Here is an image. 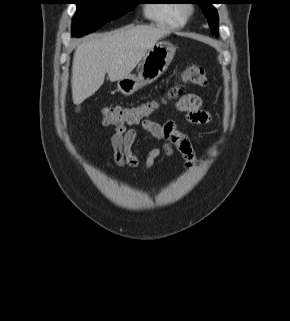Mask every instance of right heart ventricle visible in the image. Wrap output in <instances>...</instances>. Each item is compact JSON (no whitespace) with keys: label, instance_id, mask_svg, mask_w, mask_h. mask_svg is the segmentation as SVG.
<instances>
[{"label":"right heart ventricle","instance_id":"1","mask_svg":"<svg viewBox=\"0 0 290 321\" xmlns=\"http://www.w3.org/2000/svg\"><path fill=\"white\" fill-rule=\"evenodd\" d=\"M173 0H163L146 6L145 16L152 22L170 28H182L186 18L182 13V6Z\"/></svg>","mask_w":290,"mask_h":321}]
</instances>
